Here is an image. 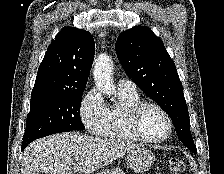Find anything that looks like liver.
<instances>
[{
	"label": "liver",
	"mask_w": 224,
	"mask_h": 174,
	"mask_svg": "<svg viewBox=\"0 0 224 174\" xmlns=\"http://www.w3.org/2000/svg\"><path fill=\"white\" fill-rule=\"evenodd\" d=\"M139 147L136 144L76 133L56 134L38 139L25 148L21 172L90 174Z\"/></svg>",
	"instance_id": "1"
}]
</instances>
